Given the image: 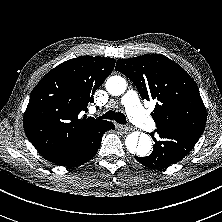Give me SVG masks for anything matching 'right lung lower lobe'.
<instances>
[{"mask_svg":"<svg viewBox=\"0 0 222 222\" xmlns=\"http://www.w3.org/2000/svg\"><path fill=\"white\" fill-rule=\"evenodd\" d=\"M114 128V124L107 121L90 133L80 144L43 157L59 166L74 167L82 165L92 159L96 154L104 132Z\"/></svg>","mask_w":222,"mask_h":222,"instance_id":"98d812e1","label":"right lung lower lobe"}]
</instances>
